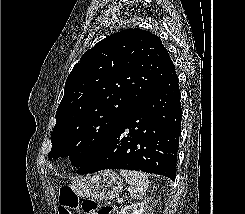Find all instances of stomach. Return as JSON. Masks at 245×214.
Wrapping results in <instances>:
<instances>
[{"label": "stomach", "mask_w": 245, "mask_h": 214, "mask_svg": "<svg viewBox=\"0 0 245 214\" xmlns=\"http://www.w3.org/2000/svg\"><path fill=\"white\" fill-rule=\"evenodd\" d=\"M71 188L79 197L108 201L122 191L123 179L115 171L105 170L76 179Z\"/></svg>", "instance_id": "stomach-1"}]
</instances>
